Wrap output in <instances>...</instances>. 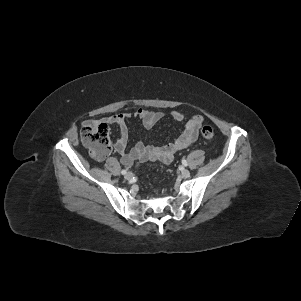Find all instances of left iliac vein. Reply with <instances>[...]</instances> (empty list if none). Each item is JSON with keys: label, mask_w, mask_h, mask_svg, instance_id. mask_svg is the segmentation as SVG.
<instances>
[{"label": "left iliac vein", "mask_w": 301, "mask_h": 301, "mask_svg": "<svg viewBox=\"0 0 301 301\" xmlns=\"http://www.w3.org/2000/svg\"><path fill=\"white\" fill-rule=\"evenodd\" d=\"M181 176L183 178H189L190 177V172L187 169H182Z\"/></svg>", "instance_id": "1"}]
</instances>
